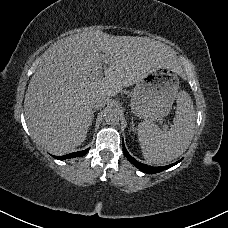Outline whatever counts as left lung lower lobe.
Wrapping results in <instances>:
<instances>
[{
  "mask_svg": "<svg viewBox=\"0 0 228 228\" xmlns=\"http://www.w3.org/2000/svg\"><path fill=\"white\" fill-rule=\"evenodd\" d=\"M123 152H124V155L127 157V159L132 163L134 164L138 169H140L141 171L145 172V173H148V174H155V173H158V172H161L163 170H166V169H169L171 167H173L174 165L178 164L181 160L173 163V164H170V165H167V166H163V167H152V166H148L146 164H143L141 162H138L137 160H135L126 150L125 146H124V143H123Z\"/></svg>",
  "mask_w": 228,
  "mask_h": 228,
  "instance_id": "left-lung-lower-lobe-1",
  "label": "left lung lower lobe"
}]
</instances>
